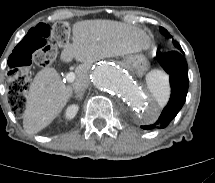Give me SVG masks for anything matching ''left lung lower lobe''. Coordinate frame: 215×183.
Here are the masks:
<instances>
[{"label": "left lung lower lobe", "instance_id": "obj_1", "mask_svg": "<svg viewBox=\"0 0 215 183\" xmlns=\"http://www.w3.org/2000/svg\"><path fill=\"white\" fill-rule=\"evenodd\" d=\"M183 50L157 53V60L169 74L171 96L158 121L153 125L142 126L145 130L165 128L183 107L188 92V66Z\"/></svg>", "mask_w": 215, "mask_h": 183}]
</instances>
